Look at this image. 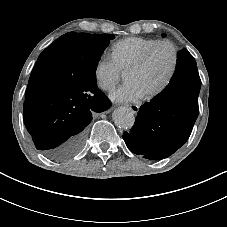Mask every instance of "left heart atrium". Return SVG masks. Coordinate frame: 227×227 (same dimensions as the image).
Wrapping results in <instances>:
<instances>
[{
  "mask_svg": "<svg viewBox=\"0 0 227 227\" xmlns=\"http://www.w3.org/2000/svg\"><path fill=\"white\" fill-rule=\"evenodd\" d=\"M145 94L133 83H127L111 94V99L116 102H138Z\"/></svg>",
  "mask_w": 227,
  "mask_h": 227,
  "instance_id": "1",
  "label": "left heart atrium"
}]
</instances>
